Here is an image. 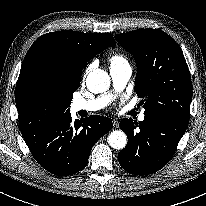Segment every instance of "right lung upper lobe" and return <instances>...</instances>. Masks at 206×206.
Segmentation results:
<instances>
[{
	"label": "right lung upper lobe",
	"mask_w": 206,
	"mask_h": 206,
	"mask_svg": "<svg viewBox=\"0 0 206 206\" xmlns=\"http://www.w3.org/2000/svg\"><path fill=\"white\" fill-rule=\"evenodd\" d=\"M114 47L115 41L109 33H82L62 30L39 37L27 52L16 84L15 100L20 110L22 86L36 57L45 51L55 53L70 75L80 81L82 69L107 47Z\"/></svg>",
	"instance_id": "right-lung-upper-lobe-1"
}]
</instances>
